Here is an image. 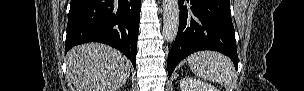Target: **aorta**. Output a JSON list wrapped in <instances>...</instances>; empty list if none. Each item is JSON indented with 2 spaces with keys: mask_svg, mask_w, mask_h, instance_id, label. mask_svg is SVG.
<instances>
[{
  "mask_svg": "<svg viewBox=\"0 0 304 91\" xmlns=\"http://www.w3.org/2000/svg\"><path fill=\"white\" fill-rule=\"evenodd\" d=\"M178 0H163V36L167 42H173L179 27Z\"/></svg>",
  "mask_w": 304,
  "mask_h": 91,
  "instance_id": "obj_1",
  "label": "aorta"
}]
</instances>
